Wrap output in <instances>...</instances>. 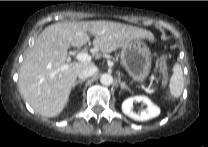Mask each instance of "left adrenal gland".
Listing matches in <instances>:
<instances>
[{
    "mask_svg": "<svg viewBox=\"0 0 208 147\" xmlns=\"http://www.w3.org/2000/svg\"><path fill=\"white\" fill-rule=\"evenodd\" d=\"M120 87H121L122 90H123V89H126V90H128L129 92H131V89L125 84V82H121V83H120Z\"/></svg>",
    "mask_w": 208,
    "mask_h": 147,
    "instance_id": "left-adrenal-gland-1",
    "label": "left adrenal gland"
}]
</instances>
